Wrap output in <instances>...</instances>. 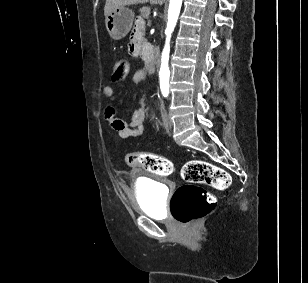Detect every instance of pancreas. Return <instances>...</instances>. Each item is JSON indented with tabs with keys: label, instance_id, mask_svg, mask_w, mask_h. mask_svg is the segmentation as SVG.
I'll return each instance as SVG.
<instances>
[{
	"label": "pancreas",
	"instance_id": "obj_1",
	"mask_svg": "<svg viewBox=\"0 0 308 283\" xmlns=\"http://www.w3.org/2000/svg\"><path fill=\"white\" fill-rule=\"evenodd\" d=\"M140 15L144 18V19H148L149 18V14H150V8L149 7H142L140 10Z\"/></svg>",
	"mask_w": 308,
	"mask_h": 283
}]
</instances>
